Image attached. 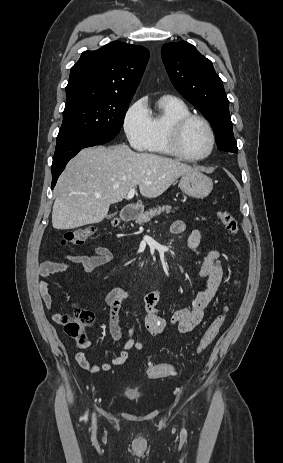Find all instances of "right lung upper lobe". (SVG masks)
<instances>
[{
  "instance_id": "obj_1",
  "label": "right lung upper lobe",
  "mask_w": 283,
  "mask_h": 463,
  "mask_svg": "<svg viewBox=\"0 0 283 463\" xmlns=\"http://www.w3.org/2000/svg\"><path fill=\"white\" fill-rule=\"evenodd\" d=\"M148 58L145 47L118 41L95 51H84L71 68L66 96L85 91L132 99Z\"/></svg>"
}]
</instances>
